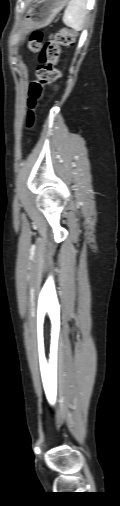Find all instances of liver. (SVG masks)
<instances>
[{
    "mask_svg": "<svg viewBox=\"0 0 120 506\" xmlns=\"http://www.w3.org/2000/svg\"><path fill=\"white\" fill-rule=\"evenodd\" d=\"M32 0H27V2H31Z\"/></svg>",
    "mask_w": 120,
    "mask_h": 506,
    "instance_id": "1",
    "label": "liver"
}]
</instances>
